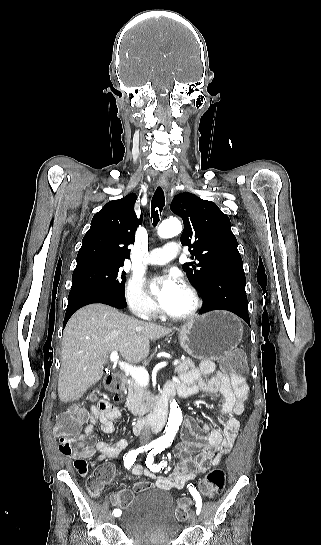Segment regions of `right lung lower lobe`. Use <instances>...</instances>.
<instances>
[{
    "label": "right lung lower lobe",
    "mask_w": 321,
    "mask_h": 545,
    "mask_svg": "<svg viewBox=\"0 0 321 545\" xmlns=\"http://www.w3.org/2000/svg\"><path fill=\"white\" fill-rule=\"evenodd\" d=\"M92 303H103L118 309L127 307L125 295H120L98 287H73L71 288L68 297V307L65 313L64 326L75 311Z\"/></svg>",
    "instance_id": "right-lung-lower-lobe-1"
}]
</instances>
